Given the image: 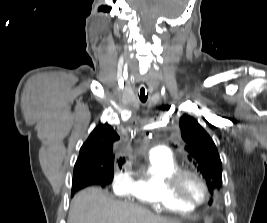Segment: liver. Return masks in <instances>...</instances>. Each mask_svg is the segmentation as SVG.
Here are the masks:
<instances>
[{
    "label": "liver",
    "mask_w": 267,
    "mask_h": 223,
    "mask_svg": "<svg viewBox=\"0 0 267 223\" xmlns=\"http://www.w3.org/2000/svg\"><path fill=\"white\" fill-rule=\"evenodd\" d=\"M67 223H180L129 202L116 201L100 188H87L73 198Z\"/></svg>",
    "instance_id": "liver-1"
}]
</instances>
